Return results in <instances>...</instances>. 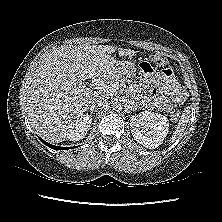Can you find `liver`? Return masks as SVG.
<instances>
[{
	"label": "liver",
	"mask_w": 222,
	"mask_h": 222,
	"mask_svg": "<svg viewBox=\"0 0 222 222\" xmlns=\"http://www.w3.org/2000/svg\"><path fill=\"white\" fill-rule=\"evenodd\" d=\"M111 45L62 46L51 51L37 67L26 98L31 126L46 141L60 143L70 125L87 111L96 94L83 83L98 74L119 72L120 62ZM119 56L135 51L118 49Z\"/></svg>",
	"instance_id": "liver-1"
}]
</instances>
